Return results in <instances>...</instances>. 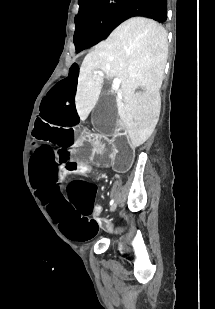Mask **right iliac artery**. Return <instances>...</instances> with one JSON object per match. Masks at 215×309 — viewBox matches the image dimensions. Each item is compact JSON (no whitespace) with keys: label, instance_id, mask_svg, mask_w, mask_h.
Here are the masks:
<instances>
[{"label":"right iliac artery","instance_id":"82829eb1","mask_svg":"<svg viewBox=\"0 0 215 309\" xmlns=\"http://www.w3.org/2000/svg\"><path fill=\"white\" fill-rule=\"evenodd\" d=\"M114 204V200H111L110 201V205L112 206Z\"/></svg>","mask_w":215,"mask_h":309}]
</instances>
